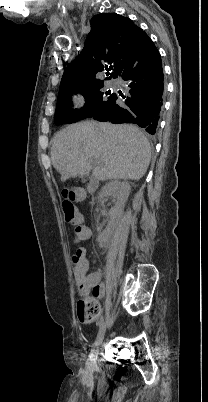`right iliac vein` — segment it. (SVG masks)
<instances>
[{
    "mask_svg": "<svg viewBox=\"0 0 208 402\" xmlns=\"http://www.w3.org/2000/svg\"><path fill=\"white\" fill-rule=\"evenodd\" d=\"M105 332H106V324H103L101 326V328L99 329L96 341H95V343L93 345V349L91 350L89 359H88V361L86 363V370L88 372H92L94 370V367H95L96 362H97L99 348L103 343Z\"/></svg>",
    "mask_w": 208,
    "mask_h": 402,
    "instance_id": "right-iliac-vein-1",
    "label": "right iliac vein"
}]
</instances>
